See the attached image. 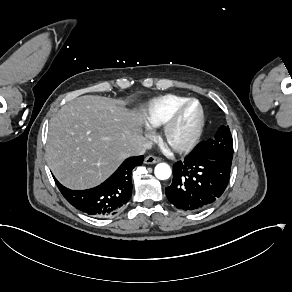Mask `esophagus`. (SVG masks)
<instances>
[{
  "label": "esophagus",
  "mask_w": 292,
  "mask_h": 292,
  "mask_svg": "<svg viewBox=\"0 0 292 292\" xmlns=\"http://www.w3.org/2000/svg\"><path fill=\"white\" fill-rule=\"evenodd\" d=\"M161 161L160 157L149 155L144 159V163L146 164H155Z\"/></svg>",
  "instance_id": "34e87169"
}]
</instances>
